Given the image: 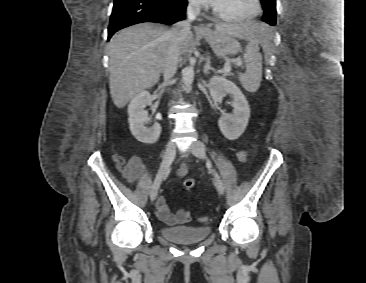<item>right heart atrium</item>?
<instances>
[{"instance_id":"right-heart-atrium-1","label":"right heart atrium","mask_w":366,"mask_h":283,"mask_svg":"<svg viewBox=\"0 0 366 283\" xmlns=\"http://www.w3.org/2000/svg\"><path fill=\"white\" fill-rule=\"evenodd\" d=\"M189 2H190V4L192 5V6H195L196 4H195V1H193V0H189Z\"/></svg>"}]
</instances>
